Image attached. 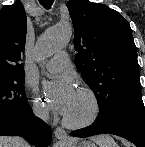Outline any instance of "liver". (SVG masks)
<instances>
[{"label": "liver", "instance_id": "obj_1", "mask_svg": "<svg viewBox=\"0 0 145 147\" xmlns=\"http://www.w3.org/2000/svg\"><path fill=\"white\" fill-rule=\"evenodd\" d=\"M0 147H29V144L20 137L0 136Z\"/></svg>", "mask_w": 145, "mask_h": 147}]
</instances>
